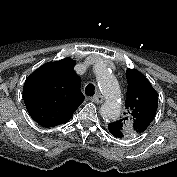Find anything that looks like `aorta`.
<instances>
[{
  "mask_svg": "<svg viewBox=\"0 0 177 177\" xmlns=\"http://www.w3.org/2000/svg\"><path fill=\"white\" fill-rule=\"evenodd\" d=\"M98 86L106 101L101 106V115L105 120L115 121L121 113L120 89L116 78L108 71L104 64L94 67Z\"/></svg>",
  "mask_w": 177,
  "mask_h": 177,
  "instance_id": "1",
  "label": "aorta"
}]
</instances>
